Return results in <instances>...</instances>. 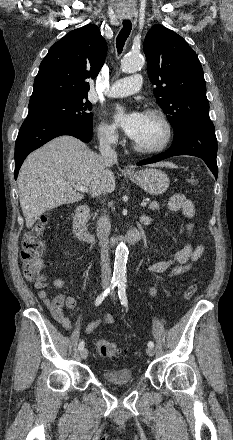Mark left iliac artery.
I'll list each match as a JSON object with an SVG mask.
<instances>
[{
	"instance_id": "left-iliac-artery-1",
	"label": "left iliac artery",
	"mask_w": 233,
	"mask_h": 440,
	"mask_svg": "<svg viewBox=\"0 0 233 440\" xmlns=\"http://www.w3.org/2000/svg\"><path fill=\"white\" fill-rule=\"evenodd\" d=\"M118 295L121 300V304L124 307H127V296H126V280L122 279L118 284ZM148 347H154V343L152 341L148 342Z\"/></svg>"
}]
</instances>
